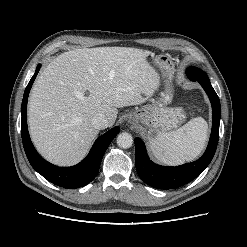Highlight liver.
I'll return each mask as SVG.
<instances>
[{"label": "liver", "instance_id": "liver-1", "mask_svg": "<svg viewBox=\"0 0 247 247\" xmlns=\"http://www.w3.org/2000/svg\"><path fill=\"white\" fill-rule=\"evenodd\" d=\"M150 51L97 47L62 53L36 80L28 102L31 139L42 157L71 166L87 154L99 130L91 124L105 115L109 127L117 108L143 103L157 88Z\"/></svg>", "mask_w": 247, "mask_h": 247}]
</instances>
